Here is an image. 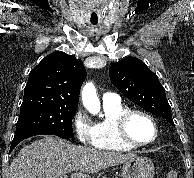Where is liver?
Masks as SVG:
<instances>
[{
	"label": "liver",
	"instance_id": "1",
	"mask_svg": "<svg viewBox=\"0 0 194 178\" xmlns=\"http://www.w3.org/2000/svg\"><path fill=\"white\" fill-rule=\"evenodd\" d=\"M135 157L133 153L98 151L45 136L20 150L11 163L9 178H58L72 171L76 172L71 178H90L89 174Z\"/></svg>",
	"mask_w": 194,
	"mask_h": 178
}]
</instances>
